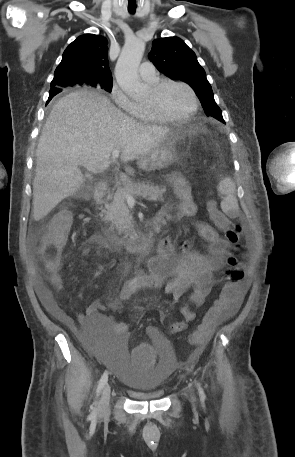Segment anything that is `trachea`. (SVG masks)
<instances>
[{
  "instance_id": "1",
  "label": "trachea",
  "mask_w": 295,
  "mask_h": 457,
  "mask_svg": "<svg viewBox=\"0 0 295 457\" xmlns=\"http://www.w3.org/2000/svg\"><path fill=\"white\" fill-rule=\"evenodd\" d=\"M128 11L130 13H132V14L135 13L136 12V5H133V6L129 5L128 6Z\"/></svg>"
}]
</instances>
